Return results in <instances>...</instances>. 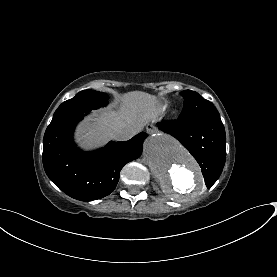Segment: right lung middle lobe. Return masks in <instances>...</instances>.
Instances as JSON below:
<instances>
[{
    "mask_svg": "<svg viewBox=\"0 0 277 277\" xmlns=\"http://www.w3.org/2000/svg\"><path fill=\"white\" fill-rule=\"evenodd\" d=\"M108 98L106 93L94 90H83L76 94L74 98L63 102L58 107L50 124L57 123L76 113H87L93 109L106 106Z\"/></svg>",
    "mask_w": 277,
    "mask_h": 277,
    "instance_id": "1",
    "label": "right lung middle lobe"
}]
</instances>
